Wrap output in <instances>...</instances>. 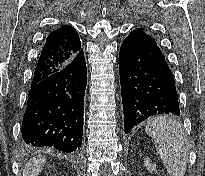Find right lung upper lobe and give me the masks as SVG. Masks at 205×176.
Instances as JSON below:
<instances>
[{"mask_svg": "<svg viewBox=\"0 0 205 176\" xmlns=\"http://www.w3.org/2000/svg\"><path fill=\"white\" fill-rule=\"evenodd\" d=\"M80 51H82L80 38L72 26L64 25L51 32L41 50L32 85L58 72Z\"/></svg>", "mask_w": 205, "mask_h": 176, "instance_id": "1", "label": "right lung upper lobe"}]
</instances>
